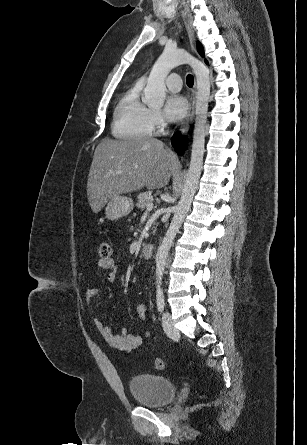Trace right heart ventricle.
I'll return each mask as SVG.
<instances>
[{"instance_id": "right-heart-ventricle-1", "label": "right heart ventricle", "mask_w": 307, "mask_h": 445, "mask_svg": "<svg viewBox=\"0 0 307 445\" xmlns=\"http://www.w3.org/2000/svg\"><path fill=\"white\" fill-rule=\"evenodd\" d=\"M144 99L141 86L136 83L122 94L114 110L112 134L116 138L147 140L150 132L148 124L149 108Z\"/></svg>"}]
</instances>
